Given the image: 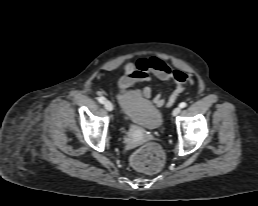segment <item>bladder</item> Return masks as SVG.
<instances>
[{"label": "bladder", "instance_id": "obj_1", "mask_svg": "<svg viewBox=\"0 0 258 206\" xmlns=\"http://www.w3.org/2000/svg\"><path fill=\"white\" fill-rule=\"evenodd\" d=\"M121 112L133 123L149 129H158L163 122L161 110L138 90H128L118 96Z\"/></svg>", "mask_w": 258, "mask_h": 206}]
</instances>
